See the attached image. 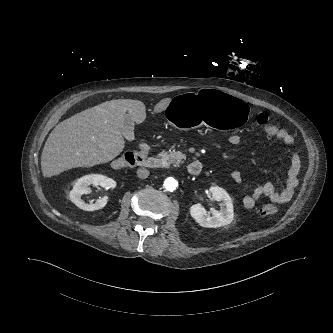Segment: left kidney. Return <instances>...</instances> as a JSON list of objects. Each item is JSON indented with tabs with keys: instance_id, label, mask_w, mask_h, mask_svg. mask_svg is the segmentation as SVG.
<instances>
[{
	"instance_id": "left-kidney-1",
	"label": "left kidney",
	"mask_w": 333,
	"mask_h": 333,
	"mask_svg": "<svg viewBox=\"0 0 333 333\" xmlns=\"http://www.w3.org/2000/svg\"><path fill=\"white\" fill-rule=\"evenodd\" d=\"M212 197L216 201H221V210L212 212V216L207 215V211L195 204L190 207L192 218L202 227L218 228L230 224L234 218L232 199L229 194L219 186H211L209 189Z\"/></svg>"
}]
</instances>
